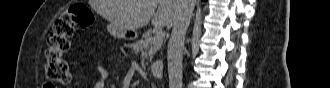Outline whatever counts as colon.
Listing matches in <instances>:
<instances>
[{
    "label": "colon",
    "instance_id": "obj_1",
    "mask_svg": "<svg viewBox=\"0 0 330 88\" xmlns=\"http://www.w3.org/2000/svg\"><path fill=\"white\" fill-rule=\"evenodd\" d=\"M93 21L92 11L81 2L71 5L60 14L47 39L45 72L48 79L60 84H68L71 81L70 65L64 58L70 47L69 38L76 27L88 29Z\"/></svg>",
    "mask_w": 330,
    "mask_h": 88
}]
</instances>
